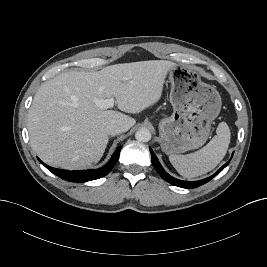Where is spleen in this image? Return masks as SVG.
Listing matches in <instances>:
<instances>
[{
	"label": "spleen",
	"mask_w": 267,
	"mask_h": 267,
	"mask_svg": "<svg viewBox=\"0 0 267 267\" xmlns=\"http://www.w3.org/2000/svg\"><path fill=\"white\" fill-rule=\"evenodd\" d=\"M217 135L202 149L187 155H170L169 160L177 172L187 179H192L213 170L226 155L230 143V129L221 122Z\"/></svg>",
	"instance_id": "3e777b00"
}]
</instances>
